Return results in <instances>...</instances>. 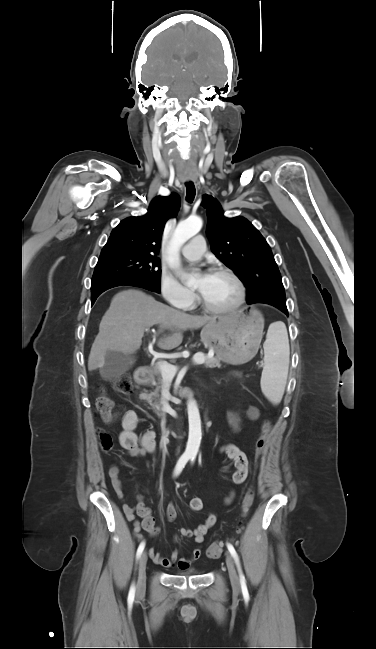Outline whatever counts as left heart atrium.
Segmentation results:
<instances>
[{"instance_id":"1","label":"left heart atrium","mask_w":376,"mask_h":649,"mask_svg":"<svg viewBox=\"0 0 376 649\" xmlns=\"http://www.w3.org/2000/svg\"><path fill=\"white\" fill-rule=\"evenodd\" d=\"M209 276H210L209 273H203V274L201 275L200 279H201L202 282H205V281L208 280Z\"/></svg>"}]
</instances>
